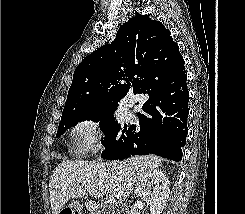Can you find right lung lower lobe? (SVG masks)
Instances as JSON below:
<instances>
[{
	"mask_svg": "<svg viewBox=\"0 0 245 214\" xmlns=\"http://www.w3.org/2000/svg\"><path fill=\"white\" fill-rule=\"evenodd\" d=\"M149 84V99L142 106L143 113L138 114L139 126L125 128L122 143L110 147L103 158L119 160L155 154L174 161L182 159L189 113L186 78L172 82L160 74Z\"/></svg>",
	"mask_w": 245,
	"mask_h": 214,
	"instance_id": "98d812e1",
	"label": "right lung lower lobe"
}]
</instances>
